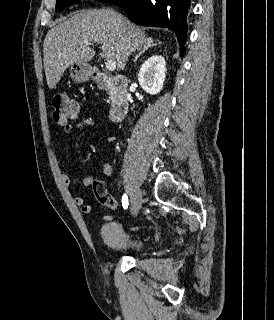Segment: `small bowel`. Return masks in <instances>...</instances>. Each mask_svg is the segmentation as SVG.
<instances>
[{"label":"small bowel","mask_w":274,"mask_h":320,"mask_svg":"<svg viewBox=\"0 0 274 320\" xmlns=\"http://www.w3.org/2000/svg\"><path fill=\"white\" fill-rule=\"evenodd\" d=\"M76 110H78L77 106H76ZM92 125H93V120L90 117H82L76 122V124L69 125L68 127H66L64 131L67 135H70V134L78 132L82 129L91 127ZM65 161H66V155H65V153H62L61 163L64 164ZM111 173H112V165L110 162L107 161L103 164L99 176H95V175L86 176L83 179L82 184L84 186H90L93 184L94 181H98L100 177H108L111 175ZM61 177H62V182H63L64 186L70 187L71 186V178H70V175L68 174L67 170L64 167L61 169ZM73 200H74L75 205H77L78 207L81 208L82 213L89 215L93 212V206L89 203H86L85 199L82 195H76ZM103 219L106 221H110V220H112V217L111 216H104Z\"/></svg>","instance_id":"obj_1"}]
</instances>
